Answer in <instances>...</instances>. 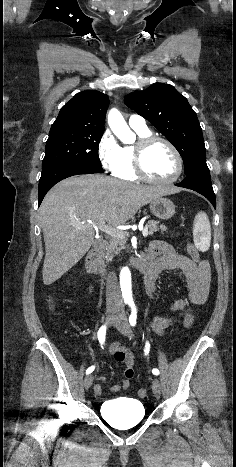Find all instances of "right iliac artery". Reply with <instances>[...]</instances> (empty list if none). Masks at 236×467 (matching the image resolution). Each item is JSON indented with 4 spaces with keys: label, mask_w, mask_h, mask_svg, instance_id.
I'll use <instances>...</instances> for the list:
<instances>
[{
    "label": "right iliac artery",
    "mask_w": 236,
    "mask_h": 467,
    "mask_svg": "<svg viewBox=\"0 0 236 467\" xmlns=\"http://www.w3.org/2000/svg\"><path fill=\"white\" fill-rule=\"evenodd\" d=\"M97 336H98V340H99L100 344L103 345L104 342H105V336H106V325H103V326L100 327V329L98 330ZM94 369H95V366L89 367L86 370V374L92 373L94 371Z\"/></svg>",
    "instance_id": "82829eb1"
}]
</instances>
